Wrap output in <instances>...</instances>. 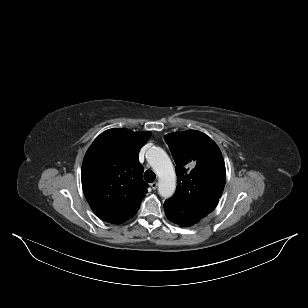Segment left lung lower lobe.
<instances>
[{
    "label": "left lung lower lobe",
    "instance_id": "obj_1",
    "mask_svg": "<svg viewBox=\"0 0 308 308\" xmlns=\"http://www.w3.org/2000/svg\"><path fill=\"white\" fill-rule=\"evenodd\" d=\"M198 221H195V222H192V223H189V224H184V225H181L183 227H189V226H192L194 225L195 223H197Z\"/></svg>",
    "mask_w": 308,
    "mask_h": 308
}]
</instances>
